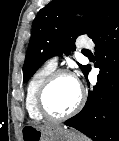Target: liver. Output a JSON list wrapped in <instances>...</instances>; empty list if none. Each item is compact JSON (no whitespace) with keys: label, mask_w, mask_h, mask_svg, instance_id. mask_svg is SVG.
<instances>
[{"label":"liver","mask_w":119,"mask_h":141,"mask_svg":"<svg viewBox=\"0 0 119 141\" xmlns=\"http://www.w3.org/2000/svg\"><path fill=\"white\" fill-rule=\"evenodd\" d=\"M58 125H44L43 127H56Z\"/></svg>","instance_id":"1"}]
</instances>
